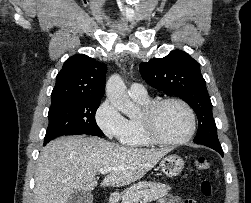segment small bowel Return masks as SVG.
I'll use <instances>...</instances> for the list:
<instances>
[{
  "label": "small bowel",
  "instance_id": "1",
  "mask_svg": "<svg viewBox=\"0 0 251 203\" xmlns=\"http://www.w3.org/2000/svg\"><path fill=\"white\" fill-rule=\"evenodd\" d=\"M158 203H196L194 200L188 199V200H181L177 196L173 195H166L163 198H161Z\"/></svg>",
  "mask_w": 251,
  "mask_h": 203
}]
</instances>
